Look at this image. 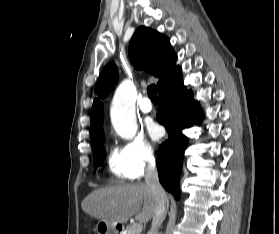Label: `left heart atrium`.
<instances>
[{
  "mask_svg": "<svg viewBox=\"0 0 279 234\" xmlns=\"http://www.w3.org/2000/svg\"><path fill=\"white\" fill-rule=\"evenodd\" d=\"M146 127H147L149 136L153 140H158L162 136L161 127L158 124L154 123L153 121L147 122Z\"/></svg>",
  "mask_w": 279,
  "mask_h": 234,
  "instance_id": "obj_1",
  "label": "left heart atrium"
}]
</instances>
